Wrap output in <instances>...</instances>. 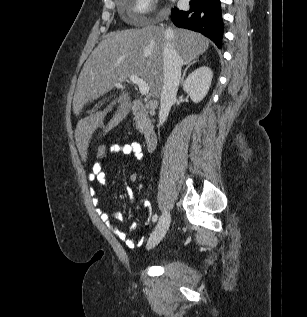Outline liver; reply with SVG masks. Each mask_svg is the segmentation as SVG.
Masks as SVG:
<instances>
[{"instance_id":"6515ba94","label":"liver","mask_w":307,"mask_h":317,"mask_svg":"<svg viewBox=\"0 0 307 317\" xmlns=\"http://www.w3.org/2000/svg\"><path fill=\"white\" fill-rule=\"evenodd\" d=\"M165 28L147 26L109 33L91 53L85 62L73 99L76 116L83 107L111 91L118 82L127 81L136 75L146 81L150 95L158 98L163 86V47L166 42ZM171 42L183 62L191 61L209 48L210 41L203 35L186 29H172ZM123 89V88H122ZM119 104L113 118L105 127L103 120L112 106ZM129 93L123 91L106 109L92 112L90 116L78 121L75 139L81 153L98 127L103 126L107 133L118 125L130 109ZM88 161L87 157L83 158Z\"/></svg>"}]
</instances>
